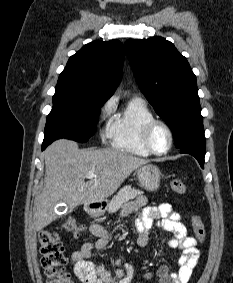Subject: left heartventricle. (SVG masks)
I'll list each match as a JSON object with an SVG mask.
<instances>
[{
  "instance_id": "obj_1",
  "label": "left heart ventricle",
  "mask_w": 233,
  "mask_h": 283,
  "mask_svg": "<svg viewBox=\"0 0 233 283\" xmlns=\"http://www.w3.org/2000/svg\"><path fill=\"white\" fill-rule=\"evenodd\" d=\"M152 147L157 151H165L169 145L167 131L160 125L156 126L150 136Z\"/></svg>"
}]
</instances>
